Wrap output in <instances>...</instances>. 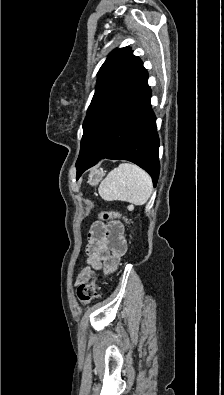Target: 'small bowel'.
Segmentation results:
<instances>
[{
  "instance_id": "1",
  "label": "small bowel",
  "mask_w": 224,
  "mask_h": 395,
  "mask_svg": "<svg viewBox=\"0 0 224 395\" xmlns=\"http://www.w3.org/2000/svg\"><path fill=\"white\" fill-rule=\"evenodd\" d=\"M117 233L110 229V225H105L100 221L92 224L89 233V242L86 247V266L77 276V283L86 282L90 277L91 268L96 270H113L117 264L119 256L127 249L126 239L123 235V226L120 222Z\"/></svg>"
}]
</instances>
